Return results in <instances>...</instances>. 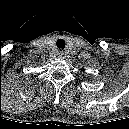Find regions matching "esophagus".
<instances>
[{
	"instance_id": "34e87169",
	"label": "esophagus",
	"mask_w": 129,
	"mask_h": 129,
	"mask_svg": "<svg viewBox=\"0 0 129 129\" xmlns=\"http://www.w3.org/2000/svg\"><path fill=\"white\" fill-rule=\"evenodd\" d=\"M58 55H59V57L62 58V57H64L65 52L63 50H61V51L58 52Z\"/></svg>"
}]
</instances>
